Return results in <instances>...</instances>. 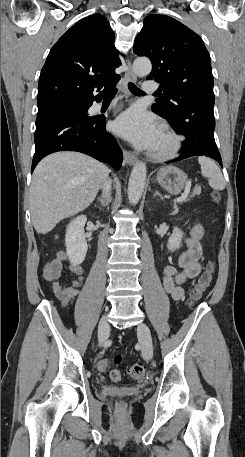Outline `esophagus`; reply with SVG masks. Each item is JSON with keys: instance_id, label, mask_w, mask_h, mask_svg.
Instances as JSON below:
<instances>
[{"instance_id": "obj_1", "label": "esophagus", "mask_w": 245, "mask_h": 457, "mask_svg": "<svg viewBox=\"0 0 245 457\" xmlns=\"http://www.w3.org/2000/svg\"><path fill=\"white\" fill-rule=\"evenodd\" d=\"M127 66H128V69L125 72V75H124V78L122 81V90L126 95H129V90H128L127 84H128V82H136L137 77H136L135 73L133 72L132 64H131L130 60L128 61ZM123 157H124L125 162L128 165H134V163L137 162V157H135V155H133L132 153L127 152V150H123Z\"/></svg>"}]
</instances>
